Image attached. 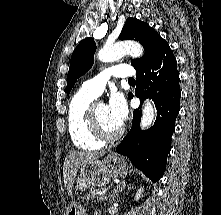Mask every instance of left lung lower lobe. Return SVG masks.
<instances>
[{
    "mask_svg": "<svg viewBox=\"0 0 221 215\" xmlns=\"http://www.w3.org/2000/svg\"><path fill=\"white\" fill-rule=\"evenodd\" d=\"M136 79L135 96L141 101L148 97L154 101L156 121L150 129L141 131V110H134L131 130L116 147V151L127 156L133 165L156 182L166 169L171 137L180 109L177 62L168 44L160 48L146 67L136 71ZM132 97L131 94L129 98Z\"/></svg>",
    "mask_w": 221,
    "mask_h": 215,
    "instance_id": "left-lung-lower-lobe-1",
    "label": "left lung lower lobe"
}]
</instances>
